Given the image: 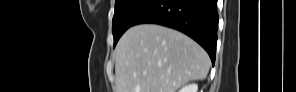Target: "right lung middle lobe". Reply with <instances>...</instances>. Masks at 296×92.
Segmentation results:
<instances>
[{
    "label": "right lung middle lobe",
    "instance_id": "dd1d6c3e",
    "mask_svg": "<svg viewBox=\"0 0 296 92\" xmlns=\"http://www.w3.org/2000/svg\"><path fill=\"white\" fill-rule=\"evenodd\" d=\"M154 0H116L112 32L114 47L121 35Z\"/></svg>",
    "mask_w": 296,
    "mask_h": 92
}]
</instances>
